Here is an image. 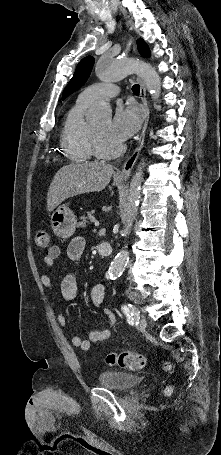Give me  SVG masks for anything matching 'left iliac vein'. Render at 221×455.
Returning a JSON list of instances; mask_svg holds the SVG:
<instances>
[{
  "instance_id": "1",
  "label": "left iliac vein",
  "mask_w": 221,
  "mask_h": 455,
  "mask_svg": "<svg viewBox=\"0 0 221 455\" xmlns=\"http://www.w3.org/2000/svg\"><path fill=\"white\" fill-rule=\"evenodd\" d=\"M147 326V320L145 317H141L137 323V328L139 330H144Z\"/></svg>"
}]
</instances>
